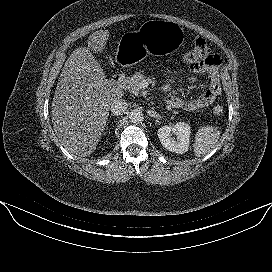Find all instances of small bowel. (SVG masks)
I'll list each match as a JSON object with an SVG mask.
<instances>
[{
    "mask_svg": "<svg viewBox=\"0 0 272 272\" xmlns=\"http://www.w3.org/2000/svg\"><path fill=\"white\" fill-rule=\"evenodd\" d=\"M196 49H202V57L190 66L192 75L207 74L209 85L207 90L194 98H182L176 95H169L166 102L173 108L193 111L211 105L221 92V80L219 67L221 64L220 57L209 49L203 39H197L195 42Z\"/></svg>",
    "mask_w": 272,
    "mask_h": 272,
    "instance_id": "obj_1",
    "label": "small bowel"
}]
</instances>
